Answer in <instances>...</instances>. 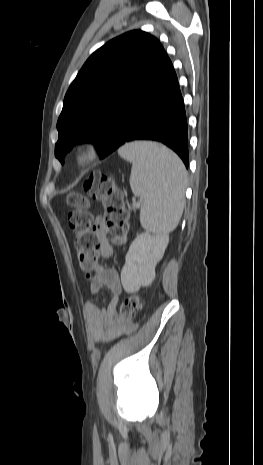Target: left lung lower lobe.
<instances>
[{
	"label": "left lung lower lobe",
	"mask_w": 263,
	"mask_h": 465,
	"mask_svg": "<svg viewBox=\"0 0 263 465\" xmlns=\"http://www.w3.org/2000/svg\"><path fill=\"white\" fill-rule=\"evenodd\" d=\"M134 140L165 144L180 156L188 168L184 102L176 73L165 51L138 83L134 100L121 111L116 129L100 152V158Z\"/></svg>",
	"instance_id": "left-lung-lower-lobe-1"
}]
</instances>
